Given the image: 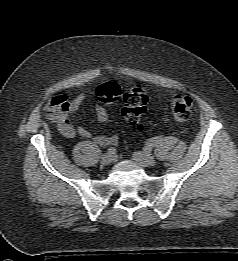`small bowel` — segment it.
Returning <instances> with one entry per match:
<instances>
[{"instance_id": "small-bowel-1", "label": "small bowel", "mask_w": 238, "mask_h": 261, "mask_svg": "<svg viewBox=\"0 0 238 261\" xmlns=\"http://www.w3.org/2000/svg\"><path fill=\"white\" fill-rule=\"evenodd\" d=\"M90 94V92H83L76 95L71 101L68 102L67 111L57 117L54 121L58 124V128L62 135L67 138H73L74 136L78 135L82 138L92 139L95 143L102 146L116 145L118 142V136L114 133L94 135L86 127L74 126L71 123L70 115L81 107ZM95 112L100 123H108V115L105 107L102 104L96 105Z\"/></svg>"}]
</instances>
